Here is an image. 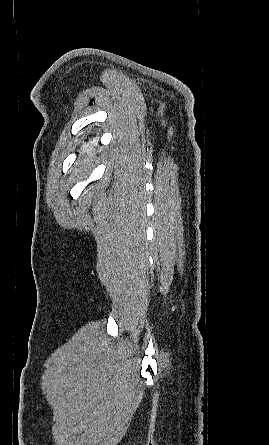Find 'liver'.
<instances>
[{"mask_svg": "<svg viewBox=\"0 0 269 445\" xmlns=\"http://www.w3.org/2000/svg\"><path fill=\"white\" fill-rule=\"evenodd\" d=\"M94 150V148L92 147V145H86L83 147V153H86L88 157H85L84 159L79 160V165H80V169H82L83 167L87 166L90 162V156L92 154V151Z\"/></svg>", "mask_w": 269, "mask_h": 445, "instance_id": "obj_1", "label": "liver"}]
</instances>
